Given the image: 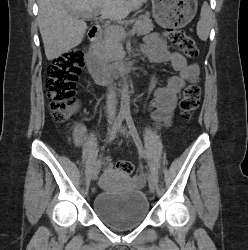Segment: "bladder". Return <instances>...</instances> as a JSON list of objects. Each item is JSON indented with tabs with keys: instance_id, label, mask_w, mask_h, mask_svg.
<instances>
[{
	"instance_id": "31cf9c89",
	"label": "bladder",
	"mask_w": 248,
	"mask_h": 250,
	"mask_svg": "<svg viewBox=\"0 0 248 250\" xmlns=\"http://www.w3.org/2000/svg\"><path fill=\"white\" fill-rule=\"evenodd\" d=\"M95 214L107 225L118 230L132 229L149 214V200L141 190H106L93 201Z\"/></svg>"
}]
</instances>
